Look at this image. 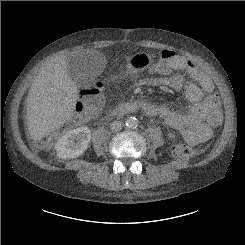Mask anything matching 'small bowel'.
I'll return each mask as SVG.
<instances>
[{"mask_svg":"<svg viewBox=\"0 0 245 245\" xmlns=\"http://www.w3.org/2000/svg\"><path fill=\"white\" fill-rule=\"evenodd\" d=\"M161 58L163 69L158 70L161 75L144 79V83L172 90L184 87L189 105L182 114L168 104L149 105L142 111L149 116H160L191 144L209 140L213 135L211 117L213 114H220L218 104L211 107L207 103L208 95L215 88L213 80L207 72L183 55L165 50L161 52ZM177 71L188 73L192 82L184 86L183 78Z\"/></svg>","mask_w":245,"mask_h":245,"instance_id":"small-bowel-1","label":"small bowel"}]
</instances>
